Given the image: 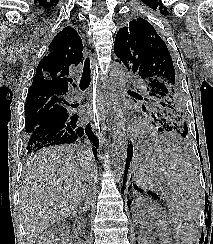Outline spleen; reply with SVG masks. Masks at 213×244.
Here are the masks:
<instances>
[{
  "mask_svg": "<svg viewBox=\"0 0 213 244\" xmlns=\"http://www.w3.org/2000/svg\"><path fill=\"white\" fill-rule=\"evenodd\" d=\"M156 170L172 192L170 206L174 230L182 244H193L200 211L201 190L195 172L180 155L168 149L155 151Z\"/></svg>",
  "mask_w": 213,
  "mask_h": 244,
  "instance_id": "1",
  "label": "spleen"
}]
</instances>
